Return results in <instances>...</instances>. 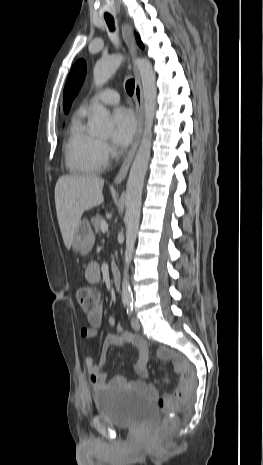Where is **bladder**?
I'll list each match as a JSON object with an SVG mask.
<instances>
[{"label": "bladder", "mask_w": 263, "mask_h": 465, "mask_svg": "<svg viewBox=\"0 0 263 465\" xmlns=\"http://www.w3.org/2000/svg\"><path fill=\"white\" fill-rule=\"evenodd\" d=\"M93 400L96 411L120 428L147 423L158 414L155 402L136 389L107 386L97 391Z\"/></svg>", "instance_id": "31cf9c89"}]
</instances>
